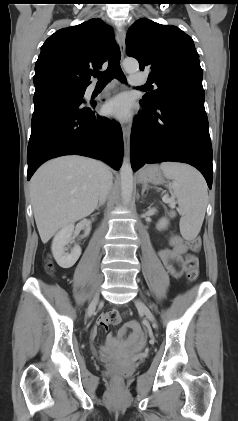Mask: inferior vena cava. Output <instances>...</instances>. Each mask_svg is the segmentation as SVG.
Here are the masks:
<instances>
[{
	"label": "inferior vena cava",
	"instance_id": "obj_1",
	"mask_svg": "<svg viewBox=\"0 0 238 421\" xmlns=\"http://www.w3.org/2000/svg\"><path fill=\"white\" fill-rule=\"evenodd\" d=\"M99 173V186H98V199L99 202L105 203L107 194L112 187V174L107 165L98 162Z\"/></svg>",
	"mask_w": 238,
	"mask_h": 421
}]
</instances>
